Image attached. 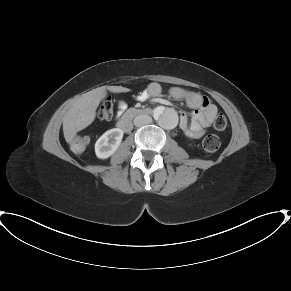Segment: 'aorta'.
Wrapping results in <instances>:
<instances>
[{"instance_id": "1", "label": "aorta", "mask_w": 291, "mask_h": 291, "mask_svg": "<svg viewBox=\"0 0 291 291\" xmlns=\"http://www.w3.org/2000/svg\"><path fill=\"white\" fill-rule=\"evenodd\" d=\"M156 120L164 129H173L177 125V115L174 111L164 109L155 113Z\"/></svg>"}]
</instances>
